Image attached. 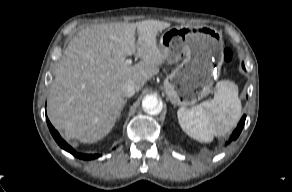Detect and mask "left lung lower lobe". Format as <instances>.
<instances>
[{"instance_id": "left-lung-lower-lobe-1", "label": "left lung lower lobe", "mask_w": 292, "mask_h": 192, "mask_svg": "<svg viewBox=\"0 0 292 192\" xmlns=\"http://www.w3.org/2000/svg\"><path fill=\"white\" fill-rule=\"evenodd\" d=\"M242 67L245 69L244 64H242ZM245 119H246V116L244 115L242 117V119L240 120V122L238 124V127L234 130L232 136L230 137L229 142L232 141V140H235L239 136V134L241 133V131L243 129V126H244V123H245Z\"/></svg>"}]
</instances>
